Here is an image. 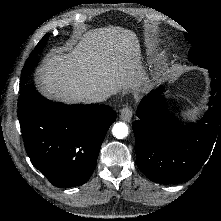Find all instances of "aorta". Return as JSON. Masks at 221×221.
Segmentation results:
<instances>
[{"label":"aorta","instance_id":"aorta-1","mask_svg":"<svg viewBox=\"0 0 221 221\" xmlns=\"http://www.w3.org/2000/svg\"><path fill=\"white\" fill-rule=\"evenodd\" d=\"M128 133H129L128 126L124 122H118L112 128V134L117 139H123L127 137Z\"/></svg>","mask_w":221,"mask_h":221}]
</instances>
